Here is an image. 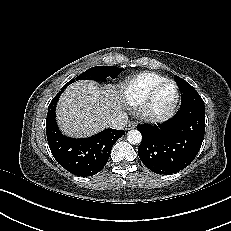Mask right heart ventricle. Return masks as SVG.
<instances>
[{
    "instance_id": "right-heart-ventricle-1",
    "label": "right heart ventricle",
    "mask_w": 231,
    "mask_h": 231,
    "mask_svg": "<svg viewBox=\"0 0 231 231\" xmlns=\"http://www.w3.org/2000/svg\"><path fill=\"white\" fill-rule=\"evenodd\" d=\"M164 79L161 75L153 72H143L132 77L123 85L122 89L127 103L132 107L140 105L148 92Z\"/></svg>"
}]
</instances>
